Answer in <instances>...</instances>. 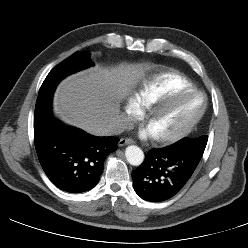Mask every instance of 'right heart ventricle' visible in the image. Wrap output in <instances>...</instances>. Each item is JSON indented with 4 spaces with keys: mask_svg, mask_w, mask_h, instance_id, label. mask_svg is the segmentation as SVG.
<instances>
[{
    "mask_svg": "<svg viewBox=\"0 0 248 248\" xmlns=\"http://www.w3.org/2000/svg\"><path fill=\"white\" fill-rule=\"evenodd\" d=\"M187 89H194V86L185 75L174 70L165 71L146 81L139 89L136 100L142 106L149 107L162 97Z\"/></svg>",
    "mask_w": 248,
    "mask_h": 248,
    "instance_id": "obj_1",
    "label": "right heart ventricle"
}]
</instances>
